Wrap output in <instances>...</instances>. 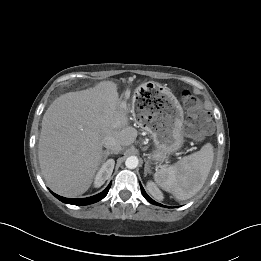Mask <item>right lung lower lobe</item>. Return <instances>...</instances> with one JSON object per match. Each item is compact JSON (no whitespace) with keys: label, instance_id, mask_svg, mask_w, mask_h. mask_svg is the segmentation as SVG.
Returning a JSON list of instances; mask_svg holds the SVG:
<instances>
[{"label":"right lung lower lobe","instance_id":"98d812e1","mask_svg":"<svg viewBox=\"0 0 261 261\" xmlns=\"http://www.w3.org/2000/svg\"><path fill=\"white\" fill-rule=\"evenodd\" d=\"M110 186H111V183L108 185V187L101 193L95 195V196H92V197H88V198H78V199H70V198H64V197H61L53 192H51L56 198H58L60 201L64 202V203H67V204H73V205H88V204H92V203H95L101 199H103L109 189H110Z\"/></svg>","mask_w":261,"mask_h":261}]
</instances>
